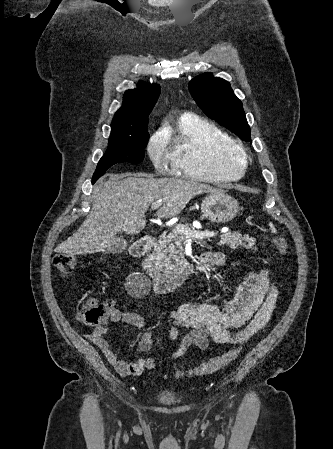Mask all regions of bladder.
I'll list each match as a JSON object with an SVG mask.
<instances>
[{"label":"bladder","instance_id":"1","mask_svg":"<svg viewBox=\"0 0 333 449\" xmlns=\"http://www.w3.org/2000/svg\"><path fill=\"white\" fill-rule=\"evenodd\" d=\"M158 401L163 405H172L177 402V397L172 390L163 389L158 393Z\"/></svg>","mask_w":333,"mask_h":449}]
</instances>
